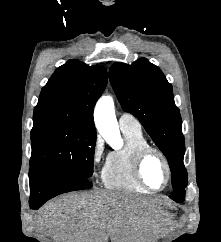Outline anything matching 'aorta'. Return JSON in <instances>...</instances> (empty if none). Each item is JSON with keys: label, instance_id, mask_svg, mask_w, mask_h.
Here are the masks:
<instances>
[{"label": "aorta", "instance_id": "1", "mask_svg": "<svg viewBox=\"0 0 221 242\" xmlns=\"http://www.w3.org/2000/svg\"><path fill=\"white\" fill-rule=\"evenodd\" d=\"M94 120L97 130L105 139L119 137L112 97L103 96L98 100L94 111Z\"/></svg>", "mask_w": 221, "mask_h": 242}]
</instances>
